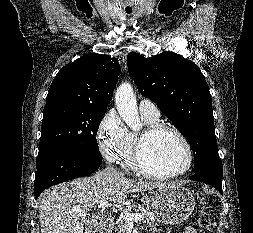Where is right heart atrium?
Returning <instances> with one entry per match:
<instances>
[{"instance_id": "right-heart-atrium-1", "label": "right heart atrium", "mask_w": 253, "mask_h": 233, "mask_svg": "<svg viewBox=\"0 0 253 233\" xmlns=\"http://www.w3.org/2000/svg\"><path fill=\"white\" fill-rule=\"evenodd\" d=\"M128 135L129 131L118 113L115 110L108 111L101 119L96 132L102 156L110 162L119 161L126 148Z\"/></svg>"}]
</instances>
